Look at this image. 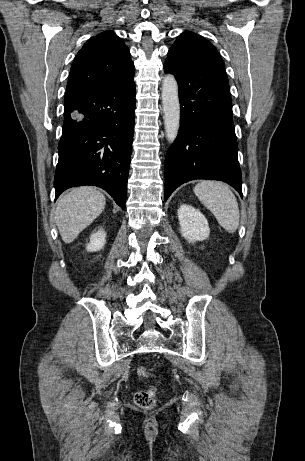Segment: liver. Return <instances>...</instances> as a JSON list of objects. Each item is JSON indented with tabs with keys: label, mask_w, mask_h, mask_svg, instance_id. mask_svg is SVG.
I'll return each mask as SVG.
<instances>
[{
	"label": "liver",
	"mask_w": 305,
	"mask_h": 461,
	"mask_svg": "<svg viewBox=\"0 0 305 461\" xmlns=\"http://www.w3.org/2000/svg\"><path fill=\"white\" fill-rule=\"evenodd\" d=\"M106 199L96 188L72 189L57 202L55 222L65 243L73 242L104 210Z\"/></svg>",
	"instance_id": "1"
}]
</instances>
